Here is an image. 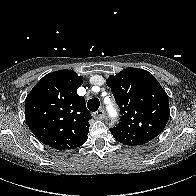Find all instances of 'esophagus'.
Instances as JSON below:
<instances>
[{
    "label": "esophagus",
    "instance_id": "1",
    "mask_svg": "<svg viewBox=\"0 0 196 196\" xmlns=\"http://www.w3.org/2000/svg\"><path fill=\"white\" fill-rule=\"evenodd\" d=\"M93 117L95 119H104L105 118V111L100 108L98 111L93 113Z\"/></svg>",
    "mask_w": 196,
    "mask_h": 196
}]
</instances>
